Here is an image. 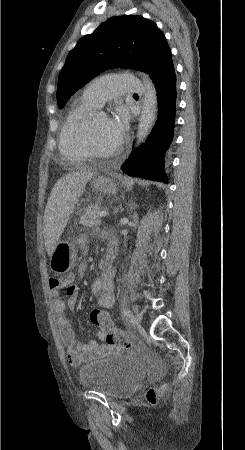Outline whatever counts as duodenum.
<instances>
[{"instance_id": "obj_1", "label": "duodenum", "mask_w": 245, "mask_h": 450, "mask_svg": "<svg viewBox=\"0 0 245 450\" xmlns=\"http://www.w3.org/2000/svg\"><path fill=\"white\" fill-rule=\"evenodd\" d=\"M99 267L101 269V271L106 272L110 269L111 264H110V259L106 258L100 261L99 263Z\"/></svg>"}]
</instances>
